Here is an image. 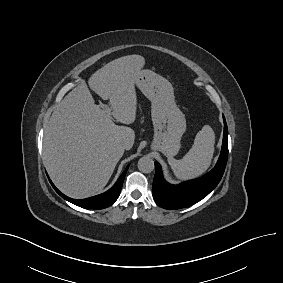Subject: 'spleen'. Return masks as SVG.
Instances as JSON below:
<instances>
[{"label":"spleen","instance_id":"spleen-1","mask_svg":"<svg viewBox=\"0 0 283 283\" xmlns=\"http://www.w3.org/2000/svg\"><path fill=\"white\" fill-rule=\"evenodd\" d=\"M215 134L209 125L196 134L194 144L180 160L169 158L174 175L180 180L196 178L210 166L214 154Z\"/></svg>","mask_w":283,"mask_h":283}]
</instances>
